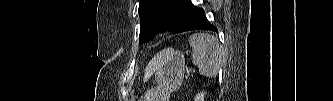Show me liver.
Listing matches in <instances>:
<instances>
[{"instance_id": "liver-1", "label": "liver", "mask_w": 333, "mask_h": 101, "mask_svg": "<svg viewBox=\"0 0 333 101\" xmlns=\"http://www.w3.org/2000/svg\"><path fill=\"white\" fill-rule=\"evenodd\" d=\"M157 57L158 55L146 67L144 79L149 78L153 74V72L158 70L159 62Z\"/></svg>"}]
</instances>
